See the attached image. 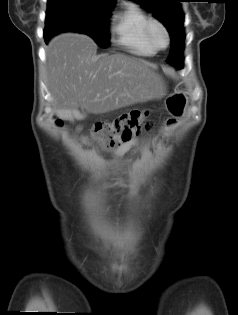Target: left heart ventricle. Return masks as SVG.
I'll return each instance as SVG.
<instances>
[{
	"mask_svg": "<svg viewBox=\"0 0 238 315\" xmlns=\"http://www.w3.org/2000/svg\"><path fill=\"white\" fill-rule=\"evenodd\" d=\"M153 38L160 45H163L165 42V37H164L162 31L157 27L154 28V30H153Z\"/></svg>",
	"mask_w": 238,
	"mask_h": 315,
	"instance_id": "b2bd125f",
	"label": "left heart ventricle"
}]
</instances>
